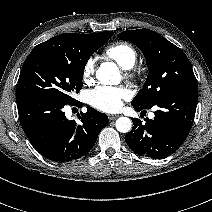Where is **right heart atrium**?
Masks as SVG:
<instances>
[{
    "label": "right heart atrium",
    "instance_id": "1",
    "mask_svg": "<svg viewBox=\"0 0 212 212\" xmlns=\"http://www.w3.org/2000/svg\"><path fill=\"white\" fill-rule=\"evenodd\" d=\"M95 67L96 65L94 59L91 58L86 61L82 71V77L86 83H91L93 81L95 74Z\"/></svg>",
    "mask_w": 212,
    "mask_h": 212
}]
</instances>
